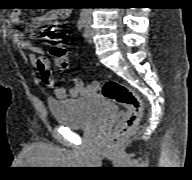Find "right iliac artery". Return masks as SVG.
<instances>
[{"instance_id": "1", "label": "right iliac artery", "mask_w": 192, "mask_h": 180, "mask_svg": "<svg viewBox=\"0 0 192 180\" xmlns=\"http://www.w3.org/2000/svg\"><path fill=\"white\" fill-rule=\"evenodd\" d=\"M87 18H88V13L81 12L80 17H79L78 22H77L79 30H81L84 27Z\"/></svg>"}]
</instances>
